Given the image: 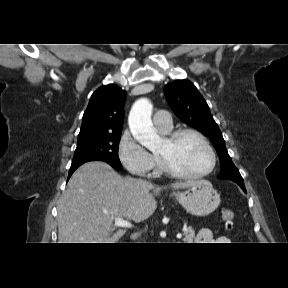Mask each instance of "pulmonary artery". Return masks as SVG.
Segmentation results:
<instances>
[{
    "instance_id": "pulmonary-artery-1",
    "label": "pulmonary artery",
    "mask_w": 288,
    "mask_h": 288,
    "mask_svg": "<svg viewBox=\"0 0 288 288\" xmlns=\"http://www.w3.org/2000/svg\"><path fill=\"white\" fill-rule=\"evenodd\" d=\"M155 127L163 132H168L172 128V119L168 111H158L154 116Z\"/></svg>"
}]
</instances>
